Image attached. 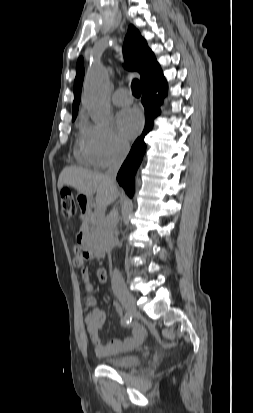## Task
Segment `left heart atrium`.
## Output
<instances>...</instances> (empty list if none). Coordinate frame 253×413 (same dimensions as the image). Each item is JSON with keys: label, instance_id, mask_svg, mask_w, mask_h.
<instances>
[{"label": "left heart atrium", "instance_id": "obj_1", "mask_svg": "<svg viewBox=\"0 0 253 413\" xmlns=\"http://www.w3.org/2000/svg\"><path fill=\"white\" fill-rule=\"evenodd\" d=\"M117 125L122 136L133 138L142 129L143 115L138 109H125L118 114Z\"/></svg>", "mask_w": 253, "mask_h": 413}]
</instances>
